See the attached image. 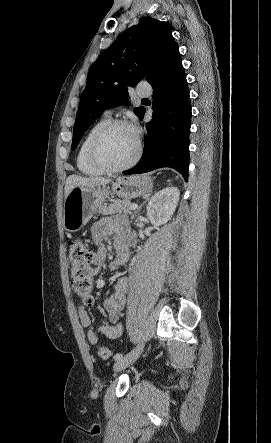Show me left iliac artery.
Returning a JSON list of instances; mask_svg holds the SVG:
<instances>
[{"instance_id":"44dca946","label":"left iliac artery","mask_w":271,"mask_h":443,"mask_svg":"<svg viewBox=\"0 0 271 443\" xmlns=\"http://www.w3.org/2000/svg\"><path fill=\"white\" fill-rule=\"evenodd\" d=\"M123 358V354H121V353H117L115 356H114V359L115 360H120V359H122Z\"/></svg>"}]
</instances>
